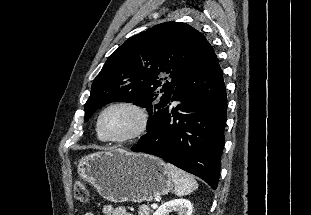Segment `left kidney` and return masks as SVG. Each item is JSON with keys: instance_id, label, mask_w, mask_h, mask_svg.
I'll use <instances>...</instances> for the list:
<instances>
[{"instance_id": "1", "label": "left kidney", "mask_w": 311, "mask_h": 215, "mask_svg": "<svg viewBox=\"0 0 311 215\" xmlns=\"http://www.w3.org/2000/svg\"><path fill=\"white\" fill-rule=\"evenodd\" d=\"M193 205L187 199H176L161 205L154 215H169L171 212H177L178 215H191Z\"/></svg>"}]
</instances>
